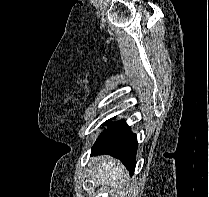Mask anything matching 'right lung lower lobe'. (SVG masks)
<instances>
[{
  "mask_svg": "<svg viewBox=\"0 0 209 197\" xmlns=\"http://www.w3.org/2000/svg\"><path fill=\"white\" fill-rule=\"evenodd\" d=\"M110 120L104 124H108ZM137 137L130 130L124 120L112 123L101 133L92 147V155L109 154L118 158L130 171L134 173L136 165Z\"/></svg>",
  "mask_w": 209,
  "mask_h": 197,
  "instance_id": "right-lung-lower-lobe-1",
  "label": "right lung lower lobe"
}]
</instances>
